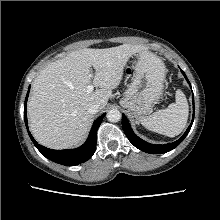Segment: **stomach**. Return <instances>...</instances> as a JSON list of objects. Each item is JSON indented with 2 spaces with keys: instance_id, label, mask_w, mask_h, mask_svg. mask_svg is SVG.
I'll return each mask as SVG.
<instances>
[{
  "instance_id": "stomach-1",
  "label": "stomach",
  "mask_w": 220,
  "mask_h": 220,
  "mask_svg": "<svg viewBox=\"0 0 220 220\" xmlns=\"http://www.w3.org/2000/svg\"><path fill=\"white\" fill-rule=\"evenodd\" d=\"M165 74V65L159 57L149 51H141L133 81L120 104L135 118L150 113L153 104L162 96Z\"/></svg>"
}]
</instances>
